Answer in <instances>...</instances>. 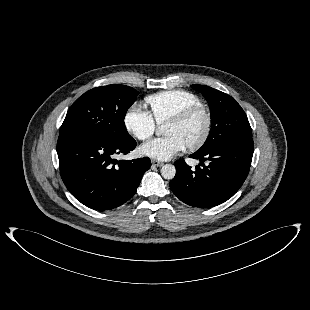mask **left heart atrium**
I'll list each match as a JSON object with an SVG mask.
<instances>
[{"label": "left heart atrium", "mask_w": 310, "mask_h": 310, "mask_svg": "<svg viewBox=\"0 0 310 310\" xmlns=\"http://www.w3.org/2000/svg\"><path fill=\"white\" fill-rule=\"evenodd\" d=\"M185 147L182 140L176 135L156 138L144 143L140 147L143 155L159 160H169Z\"/></svg>", "instance_id": "39dd6f15"}]
</instances>
